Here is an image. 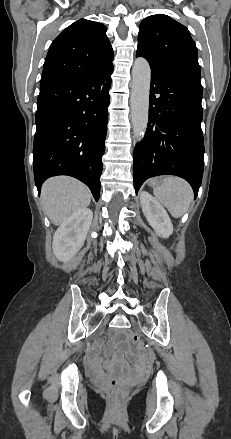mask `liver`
<instances>
[{
    "instance_id": "6515ba94",
    "label": "liver",
    "mask_w": 231,
    "mask_h": 439,
    "mask_svg": "<svg viewBox=\"0 0 231 439\" xmlns=\"http://www.w3.org/2000/svg\"><path fill=\"white\" fill-rule=\"evenodd\" d=\"M90 201L88 187L71 177H53L42 185L41 203L54 225L63 223L74 213L86 208Z\"/></svg>"
}]
</instances>
